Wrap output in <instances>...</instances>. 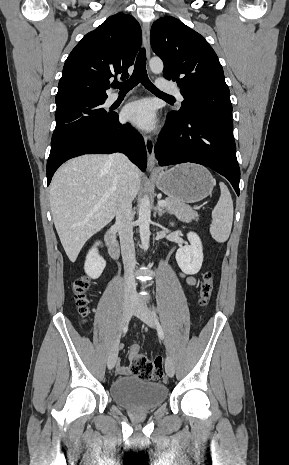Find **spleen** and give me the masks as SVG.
Segmentation results:
<instances>
[{
	"mask_svg": "<svg viewBox=\"0 0 289 465\" xmlns=\"http://www.w3.org/2000/svg\"><path fill=\"white\" fill-rule=\"evenodd\" d=\"M221 195L212 211L210 234L212 238L223 243L228 240L233 222V201L227 186L220 182Z\"/></svg>",
	"mask_w": 289,
	"mask_h": 465,
	"instance_id": "obj_1",
	"label": "spleen"
}]
</instances>
